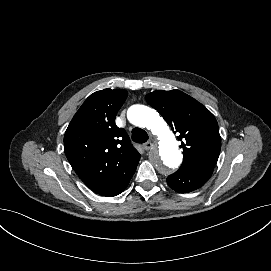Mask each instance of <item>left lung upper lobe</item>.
<instances>
[{"mask_svg": "<svg viewBox=\"0 0 271 271\" xmlns=\"http://www.w3.org/2000/svg\"><path fill=\"white\" fill-rule=\"evenodd\" d=\"M155 108L182 140L184 161L179 170L203 172L217 163L221 137L214 115L201 103L179 91L157 90L146 95Z\"/></svg>", "mask_w": 271, "mask_h": 271, "instance_id": "5c2ea615", "label": "left lung upper lobe"}]
</instances>
